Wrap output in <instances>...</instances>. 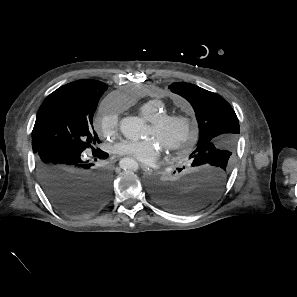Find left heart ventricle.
<instances>
[{"mask_svg": "<svg viewBox=\"0 0 297 297\" xmlns=\"http://www.w3.org/2000/svg\"><path fill=\"white\" fill-rule=\"evenodd\" d=\"M181 133V126H172L166 131L156 132L151 126V123L149 124L148 136L156 138L163 147L168 141L178 138Z\"/></svg>", "mask_w": 297, "mask_h": 297, "instance_id": "left-heart-ventricle-1", "label": "left heart ventricle"}]
</instances>
